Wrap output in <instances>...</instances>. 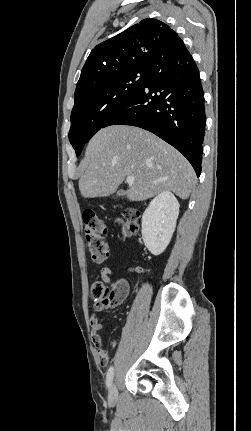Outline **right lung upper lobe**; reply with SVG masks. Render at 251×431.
Returning a JSON list of instances; mask_svg holds the SVG:
<instances>
[{
    "label": "right lung upper lobe",
    "instance_id": "1",
    "mask_svg": "<svg viewBox=\"0 0 251 431\" xmlns=\"http://www.w3.org/2000/svg\"><path fill=\"white\" fill-rule=\"evenodd\" d=\"M184 46L177 33L165 23L143 19L91 51L75 94L122 73L147 68L158 56Z\"/></svg>",
    "mask_w": 251,
    "mask_h": 431
}]
</instances>
